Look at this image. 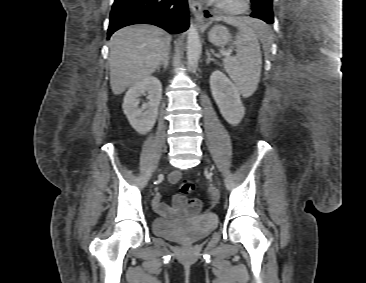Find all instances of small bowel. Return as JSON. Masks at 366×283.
I'll return each mask as SVG.
<instances>
[{
	"label": "small bowel",
	"instance_id": "1",
	"mask_svg": "<svg viewBox=\"0 0 366 283\" xmlns=\"http://www.w3.org/2000/svg\"><path fill=\"white\" fill-rule=\"evenodd\" d=\"M181 178V172L180 171H174L171 173L170 177H169V181L170 183H177ZM154 206L156 208V210L165 216H170L172 214V210L161 201V196L159 194L155 195L154 200H153ZM183 206V201L180 198H176L174 200V207L176 209H181Z\"/></svg>",
	"mask_w": 366,
	"mask_h": 283
}]
</instances>
